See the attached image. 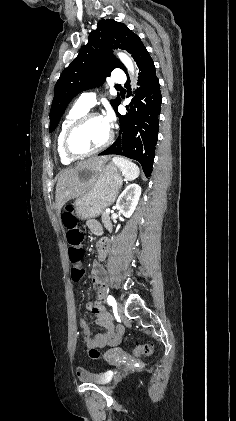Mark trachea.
Listing matches in <instances>:
<instances>
[{"label":"trachea","mask_w":236,"mask_h":421,"mask_svg":"<svg viewBox=\"0 0 236 421\" xmlns=\"http://www.w3.org/2000/svg\"><path fill=\"white\" fill-rule=\"evenodd\" d=\"M115 87H116V89H118L117 87H120V85H119V84H117V85H115Z\"/></svg>","instance_id":"1"}]
</instances>
